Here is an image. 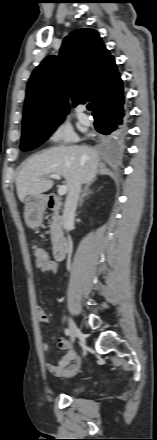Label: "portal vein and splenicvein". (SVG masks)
Here are the masks:
<instances>
[{
    "instance_id": "obj_1",
    "label": "portal vein and splenic vein",
    "mask_w": 157,
    "mask_h": 440,
    "mask_svg": "<svg viewBox=\"0 0 157 440\" xmlns=\"http://www.w3.org/2000/svg\"><path fill=\"white\" fill-rule=\"evenodd\" d=\"M49 178L60 180L61 176L58 175V174H50ZM37 181H39V180H37ZM67 191H68V187L66 185H60L59 189H58V194L60 196H63V195H65L67 193Z\"/></svg>"
}]
</instances>
